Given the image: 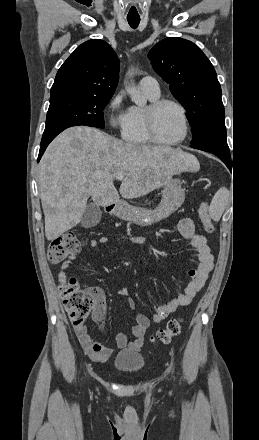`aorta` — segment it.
Here are the masks:
<instances>
[{
    "instance_id": "1",
    "label": "aorta",
    "mask_w": 259,
    "mask_h": 440,
    "mask_svg": "<svg viewBox=\"0 0 259 440\" xmlns=\"http://www.w3.org/2000/svg\"><path fill=\"white\" fill-rule=\"evenodd\" d=\"M134 74V70L129 71V75L132 76ZM126 91L128 95L130 96L131 100L137 105V106H144L146 104V99L143 95H141V92L139 89H137L134 85L126 87Z\"/></svg>"
}]
</instances>
